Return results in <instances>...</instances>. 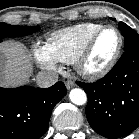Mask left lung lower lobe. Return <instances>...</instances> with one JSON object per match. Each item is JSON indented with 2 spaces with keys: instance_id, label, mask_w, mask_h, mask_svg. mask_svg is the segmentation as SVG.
Returning <instances> with one entry per match:
<instances>
[{
  "instance_id": "left-lung-lower-lobe-1",
  "label": "left lung lower lobe",
  "mask_w": 139,
  "mask_h": 139,
  "mask_svg": "<svg viewBox=\"0 0 139 139\" xmlns=\"http://www.w3.org/2000/svg\"><path fill=\"white\" fill-rule=\"evenodd\" d=\"M77 84L87 93L86 116L98 134L114 139L139 126V47L126 50L102 80Z\"/></svg>"
}]
</instances>
